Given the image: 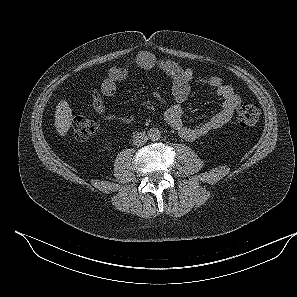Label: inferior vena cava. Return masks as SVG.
I'll return each mask as SVG.
<instances>
[{"label": "inferior vena cava", "mask_w": 297, "mask_h": 297, "mask_svg": "<svg viewBox=\"0 0 297 297\" xmlns=\"http://www.w3.org/2000/svg\"><path fill=\"white\" fill-rule=\"evenodd\" d=\"M148 140V136L145 132H137L133 135V144L135 146H143Z\"/></svg>", "instance_id": "1"}]
</instances>
